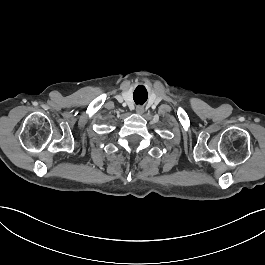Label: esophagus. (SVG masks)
<instances>
[{"label": "esophagus", "instance_id": "obj_1", "mask_svg": "<svg viewBox=\"0 0 265 265\" xmlns=\"http://www.w3.org/2000/svg\"><path fill=\"white\" fill-rule=\"evenodd\" d=\"M143 108H141V107H137L136 108V112L138 113V114H142L143 113Z\"/></svg>", "mask_w": 265, "mask_h": 265}]
</instances>
